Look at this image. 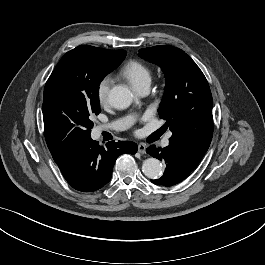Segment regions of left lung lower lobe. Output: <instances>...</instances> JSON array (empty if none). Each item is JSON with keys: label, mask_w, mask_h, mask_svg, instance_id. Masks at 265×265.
<instances>
[{"label": "left lung lower lobe", "mask_w": 265, "mask_h": 265, "mask_svg": "<svg viewBox=\"0 0 265 265\" xmlns=\"http://www.w3.org/2000/svg\"><path fill=\"white\" fill-rule=\"evenodd\" d=\"M146 152L166 163V169L163 176L157 180H152V182L157 185L167 187L176 185L183 181L196 168L188 163L179 152L170 146L163 149L150 146L146 149Z\"/></svg>", "instance_id": "obj_1"}]
</instances>
